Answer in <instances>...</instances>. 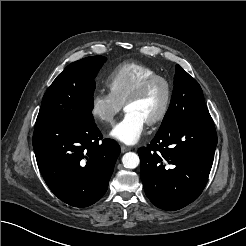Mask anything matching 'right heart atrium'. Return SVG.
I'll return each mask as SVG.
<instances>
[{
    "label": "right heart atrium",
    "instance_id": "d8ad5b80",
    "mask_svg": "<svg viewBox=\"0 0 246 246\" xmlns=\"http://www.w3.org/2000/svg\"><path fill=\"white\" fill-rule=\"evenodd\" d=\"M121 108L122 104L109 92L99 91L91 98L90 113L97 122L102 124L112 125Z\"/></svg>",
    "mask_w": 246,
    "mask_h": 246
}]
</instances>
